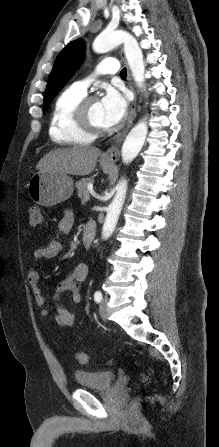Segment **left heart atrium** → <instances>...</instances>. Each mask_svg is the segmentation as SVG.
Masks as SVG:
<instances>
[{
  "label": "left heart atrium",
  "instance_id": "39dd6f15",
  "mask_svg": "<svg viewBox=\"0 0 219 447\" xmlns=\"http://www.w3.org/2000/svg\"><path fill=\"white\" fill-rule=\"evenodd\" d=\"M103 111V123L105 127H111L119 123L125 116L128 102L120 92L109 89L100 101Z\"/></svg>",
  "mask_w": 219,
  "mask_h": 447
}]
</instances>
